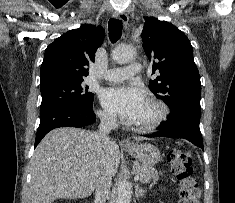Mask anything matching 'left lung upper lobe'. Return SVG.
<instances>
[{"mask_svg":"<svg viewBox=\"0 0 235 203\" xmlns=\"http://www.w3.org/2000/svg\"><path fill=\"white\" fill-rule=\"evenodd\" d=\"M141 37L145 53L153 61L152 74L160 73L149 88L168 105L170 115L185 108L201 111L200 75L186 35L171 23L150 17Z\"/></svg>","mask_w":235,"mask_h":203,"instance_id":"obj_1","label":"left lung upper lobe"}]
</instances>
